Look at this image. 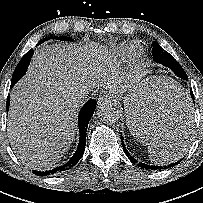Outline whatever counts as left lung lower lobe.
Masks as SVG:
<instances>
[{"instance_id": "left-lung-lower-lobe-1", "label": "left lung lower lobe", "mask_w": 203, "mask_h": 203, "mask_svg": "<svg viewBox=\"0 0 203 203\" xmlns=\"http://www.w3.org/2000/svg\"><path fill=\"white\" fill-rule=\"evenodd\" d=\"M153 60L155 62L161 63L163 66L171 69L180 78L185 79V80L188 79L186 73L183 71V68L172 57V55L170 53H168L167 51H164L163 49H162V51H155V53L153 54ZM190 95L194 101L192 89L190 90ZM141 101L142 100L138 101L135 104L133 114L136 115L138 118H142V121H146V122H148V124H153L152 122L155 118V115H157V112H158L157 109L151 108V106H149V103H146V100L145 101L143 100L144 104L143 103L141 104ZM177 115H179L181 117V120L178 125L179 133L176 136H174V138H172L171 140L174 143H179V145H184L185 144L184 141L187 140L186 136H189V140H190V135L187 134V133H189L190 126L188 125L187 122L190 121L191 114L187 109H185V110L182 109V112H177ZM121 141H122V146H123L124 152L127 155V157L131 160L132 163L137 164V166H139L143 169H147V170L166 169L168 167L177 165L182 160L181 159L180 161H177V162L169 165L168 167L149 165V164H145V163H138V161L134 157H132L130 155V153L128 152V150L126 149V147L123 143L122 135H121Z\"/></svg>"}]
</instances>
